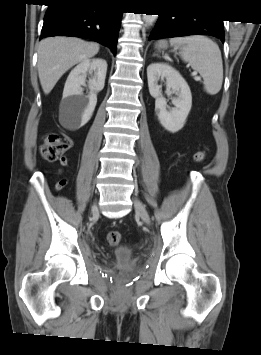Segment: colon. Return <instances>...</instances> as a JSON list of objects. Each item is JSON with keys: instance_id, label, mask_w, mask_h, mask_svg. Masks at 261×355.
<instances>
[{"instance_id": "1", "label": "colon", "mask_w": 261, "mask_h": 355, "mask_svg": "<svg viewBox=\"0 0 261 355\" xmlns=\"http://www.w3.org/2000/svg\"><path fill=\"white\" fill-rule=\"evenodd\" d=\"M67 144L56 134H48L43 144L40 147V154L46 161H57L61 158L66 150ZM207 154L204 151H199L194 155V162L201 163L205 160ZM67 184L66 179H61L57 182L55 188L62 189ZM122 240V234L119 231H110L107 234V241L111 246H117Z\"/></svg>"}]
</instances>
